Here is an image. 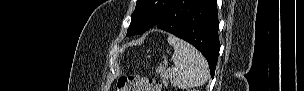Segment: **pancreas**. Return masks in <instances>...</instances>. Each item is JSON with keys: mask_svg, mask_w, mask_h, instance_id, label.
<instances>
[{"mask_svg": "<svg viewBox=\"0 0 304 91\" xmlns=\"http://www.w3.org/2000/svg\"><path fill=\"white\" fill-rule=\"evenodd\" d=\"M157 70H158L160 77L163 80V83L166 85L168 83V78H169V74L171 73V71H169L162 65H160Z\"/></svg>", "mask_w": 304, "mask_h": 91, "instance_id": "pancreas-1", "label": "pancreas"}]
</instances>
